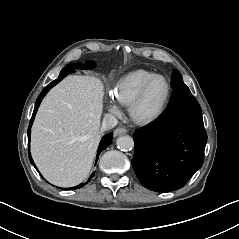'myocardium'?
<instances>
[{
	"instance_id": "1",
	"label": "myocardium",
	"mask_w": 239,
	"mask_h": 239,
	"mask_svg": "<svg viewBox=\"0 0 239 239\" xmlns=\"http://www.w3.org/2000/svg\"><path fill=\"white\" fill-rule=\"evenodd\" d=\"M158 79H164L167 83V96L160 110L151 117H143L138 113V107L141 104L143 98L145 97L150 86ZM172 96V86L169 79L164 75H155L151 77L138 91L136 96L133 98L129 105V114L134 122L140 125H151L159 121L165 114Z\"/></svg>"
}]
</instances>
